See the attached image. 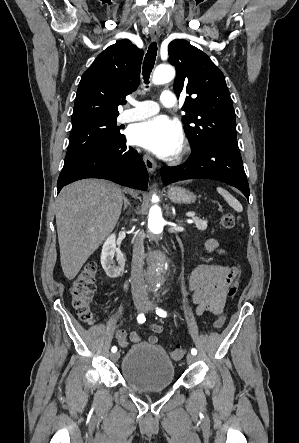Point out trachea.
<instances>
[{"label": "trachea", "mask_w": 299, "mask_h": 443, "mask_svg": "<svg viewBox=\"0 0 299 443\" xmlns=\"http://www.w3.org/2000/svg\"><path fill=\"white\" fill-rule=\"evenodd\" d=\"M157 44L156 42H153L149 45L148 51L146 53V56L144 58L143 61V79L145 84L149 83V77H150V73L154 67L155 64V60H156V56H157Z\"/></svg>", "instance_id": "trachea-1"}]
</instances>
